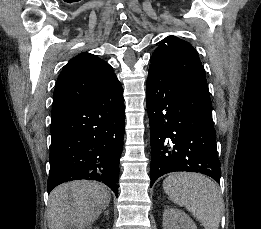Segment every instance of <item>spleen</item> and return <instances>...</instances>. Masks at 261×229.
Listing matches in <instances>:
<instances>
[{
  "label": "spleen",
  "instance_id": "spleen-1",
  "mask_svg": "<svg viewBox=\"0 0 261 229\" xmlns=\"http://www.w3.org/2000/svg\"><path fill=\"white\" fill-rule=\"evenodd\" d=\"M163 189L175 205L186 207L204 229H218L223 201L211 179L200 173H169Z\"/></svg>",
  "mask_w": 261,
  "mask_h": 229
}]
</instances>
